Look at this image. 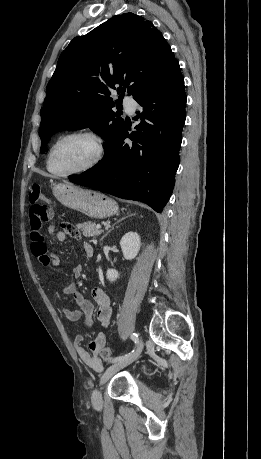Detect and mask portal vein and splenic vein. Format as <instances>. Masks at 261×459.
Wrapping results in <instances>:
<instances>
[{
    "mask_svg": "<svg viewBox=\"0 0 261 459\" xmlns=\"http://www.w3.org/2000/svg\"><path fill=\"white\" fill-rule=\"evenodd\" d=\"M97 228H98V229H100V228H101V225H100V224H98V225H97Z\"/></svg>",
    "mask_w": 261,
    "mask_h": 459,
    "instance_id": "portal-vein-and-splenic-vein-1",
    "label": "portal vein and splenic vein"
}]
</instances>
